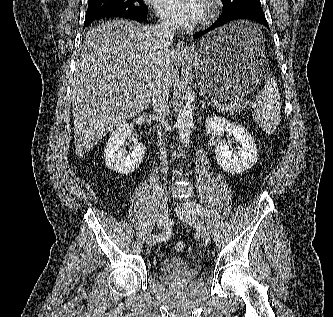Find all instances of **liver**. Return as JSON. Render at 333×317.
I'll return each mask as SVG.
<instances>
[{
	"label": "liver",
	"mask_w": 333,
	"mask_h": 317,
	"mask_svg": "<svg viewBox=\"0 0 333 317\" xmlns=\"http://www.w3.org/2000/svg\"><path fill=\"white\" fill-rule=\"evenodd\" d=\"M178 75L171 47L162 49L151 27L111 20L86 35L72 80L76 154H87L116 126L146 109L153 84Z\"/></svg>",
	"instance_id": "liver-1"
}]
</instances>
